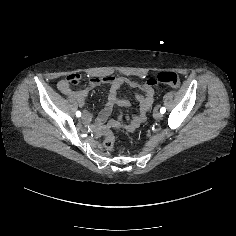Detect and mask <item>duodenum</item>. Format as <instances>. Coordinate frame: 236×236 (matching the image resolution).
<instances>
[{
    "mask_svg": "<svg viewBox=\"0 0 236 236\" xmlns=\"http://www.w3.org/2000/svg\"><path fill=\"white\" fill-rule=\"evenodd\" d=\"M106 82L112 84V87H111V94H110V96H109V101H110L111 103H116V104H118V105H126V101L117 98L116 95H115L116 89H118V87L122 84L123 81L120 80V79L109 78V79H106ZM132 86L137 87L138 85H137L136 83H132ZM144 90L146 91V96H145V98L142 100L141 108L146 105V103L148 102V100H149V98H150V93H149L150 88L147 87V86H145V87H144ZM71 96L74 97V98L77 100V102H78L79 104H82L83 101H84V98H83V97H80V96H78V95H71ZM113 125H115V126H117V127L123 126V127H125V128H130V127L133 126V123H130V124H127V125H122V124L119 123V122H114Z\"/></svg>",
    "mask_w": 236,
    "mask_h": 236,
    "instance_id": "duodenum-1",
    "label": "duodenum"
}]
</instances>
